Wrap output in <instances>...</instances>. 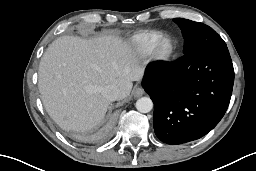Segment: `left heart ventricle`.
<instances>
[{"instance_id": "left-heart-ventricle-1", "label": "left heart ventricle", "mask_w": 256, "mask_h": 171, "mask_svg": "<svg viewBox=\"0 0 256 171\" xmlns=\"http://www.w3.org/2000/svg\"><path fill=\"white\" fill-rule=\"evenodd\" d=\"M169 48V43H166L165 45H164V50H167Z\"/></svg>"}]
</instances>
